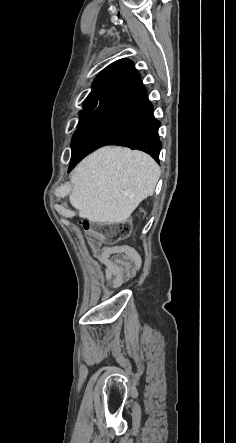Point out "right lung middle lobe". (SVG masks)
Segmentation results:
<instances>
[{
  "mask_svg": "<svg viewBox=\"0 0 236 443\" xmlns=\"http://www.w3.org/2000/svg\"><path fill=\"white\" fill-rule=\"evenodd\" d=\"M105 100L106 99H96V100H92V101L83 103V111H80V113H79L80 120H79V124H78V128H77L76 132L80 128L83 127V125L91 118L93 113L102 105V103ZM75 133L73 135V138L75 136ZM73 138H72V140H73Z\"/></svg>",
  "mask_w": 236,
  "mask_h": 443,
  "instance_id": "1",
  "label": "right lung middle lobe"
}]
</instances>
